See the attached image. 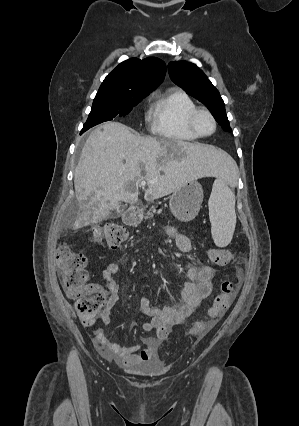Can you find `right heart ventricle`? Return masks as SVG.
Here are the masks:
<instances>
[{"label":"right heart ventricle","instance_id":"1","mask_svg":"<svg viewBox=\"0 0 299 426\" xmlns=\"http://www.w3.org/2000/svg\"><path fill=\"white\" fill-rule=\"evenodd\" d=\"M183 90L170 88L159 95L152 109V131L165 139L190 142L198 137L188 127V117L196 108Z\"/></svg>","mask_w":299,"mask_h":426}]
</instances>
